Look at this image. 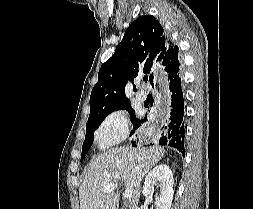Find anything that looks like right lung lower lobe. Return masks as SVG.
I'll list each match as a JSON object with an SVG mask.
<instances>
[{
    "mask_svg": "<svg viewBox=\"0 0 253 209\" xmlns=\"http://www.w3.org/2000/svg\"><path fill=\"white\" fill-rule=\"evenodd\" d=\"M169 109L166 119L161 123L153 133V138L160 145H168L179 150L185 156V129H184V98L181 86L180 70L167 76ZM147 119H138L133 127L139 128ZM132 146H136L137 133L135 130L130 133Z\"/></svg>",
    "mask_w": 253,
    "mask_h": 209,
    "instance_id": "98d812e1",
    "label": "right lung lower lobe"
}]
</instances>
